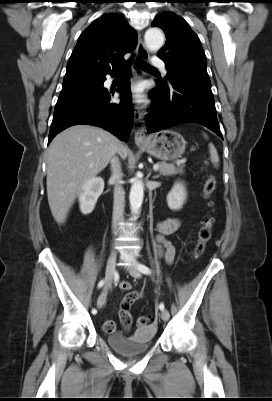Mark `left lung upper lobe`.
<instances>
[{
    "mask_svg": "<svg viewBox=\"0 0 272 401\" xmlns=\"http://www.w3.org/2000/svg\"><path fill=\"white\" fill-rule=\"evenodd\" d=\"M166 35V43L158 57L166 64L167 77L211 86L207 73V60L199 37L186 21L173 12H162L152 22ZM164 84H167L163 80Z\"/></svg>",
    "mask_w": 272,
    "mask_h": 401,
    "instance_id": "left-lung-upper-lobe-1",
    "label": "left lung upper lobe"
}]
</instances>
